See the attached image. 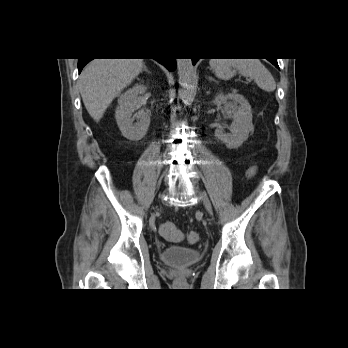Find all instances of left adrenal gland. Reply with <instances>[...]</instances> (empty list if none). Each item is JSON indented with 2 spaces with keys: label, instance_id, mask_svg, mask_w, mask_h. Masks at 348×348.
<instances>
[{
  "label": "left adrenal gland",
  "instance_id": "left-adrenal-gland-1",
  "mask_svg": "<svg viewBox=\"0 0 348 348\" xmlns=\"http://www.w3.org/2000/svg\"><path fill=\"white\" fill-rule=\"evenodd\" d=\"M208 79L211 80V81H215V80H214L212 77H210V76L208 77Z\"/></svg>",
  "mask_w": 348,
  "mask_h": 348
}]
</instances>
